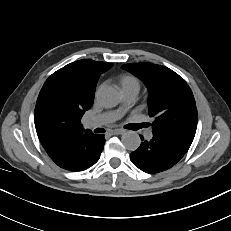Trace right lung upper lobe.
Here are the masks:
<instances>
[{"label": "right lung upper lobe", "instance_id": "right-lung-upper-lobe-1", "mask_svg": "<svg viewBox=\"0 0 231 231\" xmlns=\"http://www.w3.org/2000/svg\"><path fill=\"white\" fill-rule=\"evenodd\" d=\"M112 65L79 60L54 72L46 80L34 113L36 131L45 149L64 137L83 132L80 121L93 104L98 78Z\"/></svg>", "mask_w": 231, "mask_h": 231}]
</instances>
